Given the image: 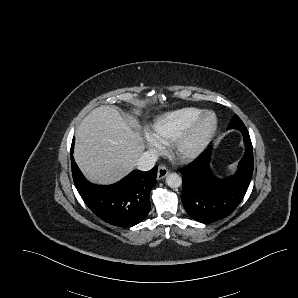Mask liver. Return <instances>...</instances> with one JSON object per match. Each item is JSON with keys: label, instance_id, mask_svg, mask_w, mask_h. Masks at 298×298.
I'll list each match as a JSON object with an SVG mask.
<instances>
[{"label": "liver", "instance_id": "liver-1", "mask_svg": "<svg viewBox=\"0 0 298 298\" xmlns=\"http://www.w3.org/2000/svg\"><path fill=\"white\" fill-rule=\"evenodd\" d=\"M145 149L140 128L132 129L115 108L99 106L77 127L73 158L89 183L110 186L136 169Z\"/></svg>", "mask_w": 298, "mask_h": 298}]
</instances>
